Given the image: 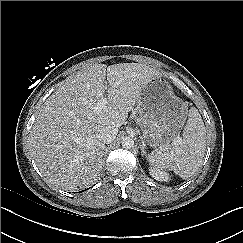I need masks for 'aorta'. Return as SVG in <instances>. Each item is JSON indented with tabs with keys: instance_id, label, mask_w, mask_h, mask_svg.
Instances as JSON below:
<instances>
[{
	"instance_id": "obj_1",
	"label": "aorta",
	"mask_w": 243,
	"mask_h": 243,
	"mask_svg": "<svg viewBox=\"0 0 243 243\" xmlns=\"http://www.w3.org/2000/svg\"><path fill=\"white\" fill-rule=\"evenodd\" d=\"M134 146V140L130 136H126L122 140V147L126 149H130Z\"/></svg>"
}]
</instances>
